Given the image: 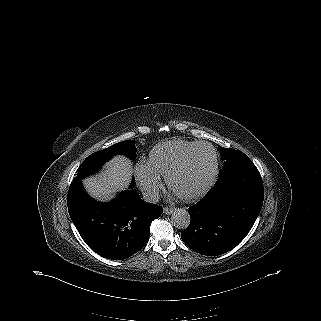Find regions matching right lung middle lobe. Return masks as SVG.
<instances>
[{"mask_svg": "<svg viewBox=\"0 0 321 321\" xmlns=\"http://www.w3.org/2000/svg\"><path fill=\"white\" fill-rule=\"evenodd\" d=\"M134 144V140H126L91 154L77 169V177L75 179L81 181L85 176L95 173L106 161L117 154H123L129 159L134 160L136 158L137 150Z\"/></svg>", "mask_w": 321, "mask_h": 321, "instance_id": "dd1d6c3e", "label": "right lung middle lobe"}]
</instances>
